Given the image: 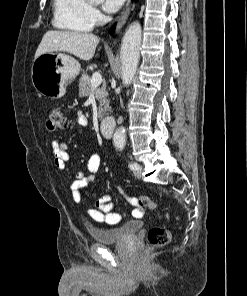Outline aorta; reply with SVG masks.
<instances>
[{"mask_svg":"<svg viewBox=\"0 0 247 296\" xmlns=\"http://www.w3.org/2000/svg\"><path fill=\"white\" fill-rule=\"evenodd\" d=\"M100 3L103 0H90ZM142 39V29L139 22L132 23L127 29L122 39L120 58H121V78L124 86H128L134 79L139 62V47ZM125 129L120 127L113 135V143L118 149L125 146Z\"/></svg>","mask_w":247,"mask_h":296,"instance_id":"aorta-1","label":"aorta"}]
</instances>
